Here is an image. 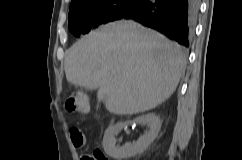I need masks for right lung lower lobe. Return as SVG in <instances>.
Listing matches in <instances>:
<instances>
[{"label": "right lung lower lobe", "mask_w": 242, "mask_h": 160, "mask_svg": "<svg viewBox=\"0 0 242 160\" xmlns=\"http://www.w3.org/2000/svg\"><path fill=\"white\" fill-rule=\"evenodd\" d=\"M200 0H143L122 18L132 19L188 47Z\"/></svg>", "instance_id": "1"}]
</instances>
